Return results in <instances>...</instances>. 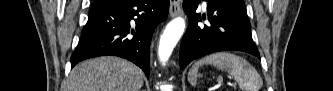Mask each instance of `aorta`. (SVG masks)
I'll return each instance as SVG.
<instances>
[{
    "mask_svg": "<svg viewBox=\"0 0 333 91\" xmlns=\"http://www.w3.org/2000/svg\"><path fill=\"white\" fill-rule=\"evenodd\" d=\"M185 30V20L177 17L169 22L160 37L158 55L164 64L170 58L174 47L181 38Z\"/></svg>",
    "mask_w": 333,
    "mask_h": 91,
    "instance_id": "obj_1",
    "label": "aorta"
}]
</instances>
